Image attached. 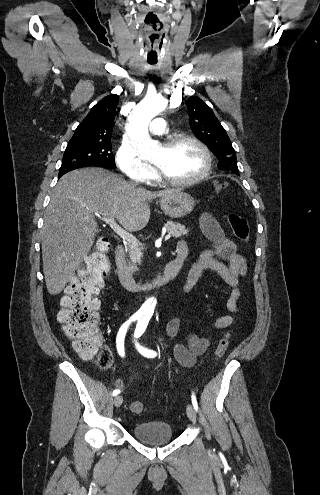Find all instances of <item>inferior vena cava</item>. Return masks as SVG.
<instances>
[{
    "mask_svg": "<svg viewBox=\"0 0 320 495\" xmlns=\"http://www.w3.org/2000/svg\"><path fill=\"white\" fill-rule=\"evenodd\" d=\"M132 185L136 186L137 184H135V183L133 184V183H132Z\"/></svg>",
    "mask_w": 320,
    "mask_h": 495,
    "instance_id": "1",
    "label": "inferior vena cava"
}]
</instances>
